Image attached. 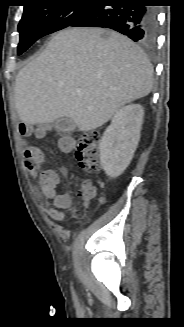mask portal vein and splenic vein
<instances>
[{"label":"portal vein and splenic vein","instance_id":"portal-vein-and-splenic-vein-1","mask_svg":"<svg viewBox=\"0 0 184 327\" xmlns=\"http://www.w3.org/2000/svg\"><path fill=\"white\" fill-rule=\"evenodd\" d=\"M76 93H77L78 95H81V94H82V90H77Z\"/></svg>","mask_w":184,"mask_h":327}]
</instances>
